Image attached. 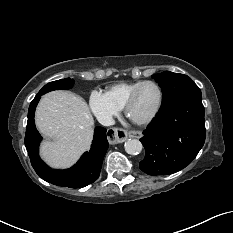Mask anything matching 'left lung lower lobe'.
Segmentation results:
<instances>
[{
	"mask_svg": "<svg viewBox=\"0 0 233 233\" xmlns=\"http://www.w3.org/2000/svg\"><path fill=\"white\" fill-rule=\"evenodd\" d=\"M140 139L145 157L140 169L149 175H167L189 165L205 142L201 95H188L162 106Z\"/></svg>",
	"mask_w": 233,
	"mask_h": 233,
	"instance_id": "0a47b994",
	"label": "left lung lower lobe"
}]
</instances>
